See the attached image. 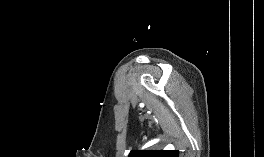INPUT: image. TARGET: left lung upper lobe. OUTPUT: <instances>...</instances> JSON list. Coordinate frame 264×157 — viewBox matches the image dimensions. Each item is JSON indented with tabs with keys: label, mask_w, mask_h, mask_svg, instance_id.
I'll return each mask as SVG.
<instances>
[{
	"label": "left lung upper lobe",
	"mask_w": 264,
	"mask_h": 157,
	"mask_svg": "<svg viewBox=\"0 0 264 157\" xmlns=\"http://www.w3.org/2000/svg\"><path fill=\"white\" fill-rule=\"evenodd\" d=\"M128 157H179L177 150H132Z\"/></svg>",
	"instance_id": "1"
}]
</instances>
